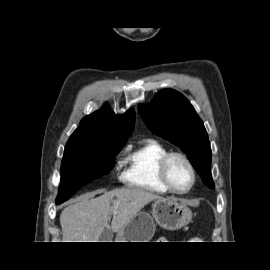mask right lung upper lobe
Instances as JSON below:
<instances>
[{
  "instance_id": "cb5924a9",
  "label": "right lung upper lobe",
  "mask_w": 270,
  "mask_h": 270,
  "mask_svg": "<svg viewBox=\"0 0 270 270\" xmlns=\"http://www.w3.org/2000/svg\"><path fill=\"white\" fill-rule=\"evenodd\" d=\"M134 122V109L116 115L105 105L102 109L84 117L67 143L99 145L125 142L133 131Z\"/></svg>"
}]
</instances>
